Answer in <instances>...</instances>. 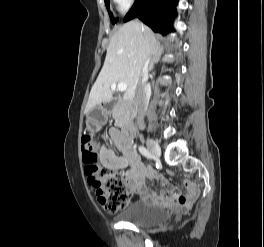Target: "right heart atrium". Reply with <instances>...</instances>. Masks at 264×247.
<instances>
[{"label": "right heart atrium", "instance_id": "obj_1", "mask_svg": "<svg viewBox=\"0 0 264 247\" xmlns=\"http://www.w3.org/2000/svg\"><path fill=\"white\" fill-rule=\"evenodd\" d=\"M134 1L135 0H114L121 12L127 11L133 5Z\"/></svg>", "mask_w": 264, "mask_h": 247}]
</instances>
